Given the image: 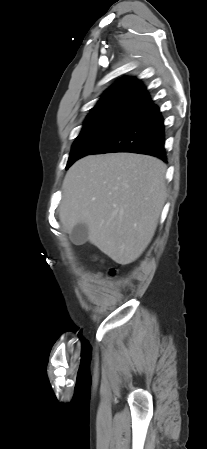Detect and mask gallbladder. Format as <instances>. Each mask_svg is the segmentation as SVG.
<instances>
[{
  "instance_id": "1",
  "label": "gallbladder",
  "mask_w": 207,
  "mask_h": 449,
  "mask_svg": "<svg viewBox=\"0 0 207 449\" xmlns=\"http://www.w3.org/2000/svg\"><path fill=\"white\" fill-rule=\"evenodd\" d=\"M88 234V227L83 223H78L73 227L70 233V239L76 245H82L88 240Z\"/></svg>"
}]
</instances>
